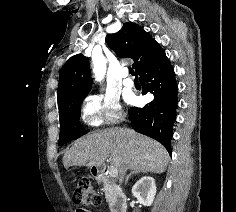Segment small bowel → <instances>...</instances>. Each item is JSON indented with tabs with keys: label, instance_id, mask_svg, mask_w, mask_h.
<instances>
[{
	"label": "small bowel",
	"instance_id": "c3829d8e",
	"mask_svg": "<svg viewBox=\"0 0 236 212\" xmlns=\"http://www.w3.org/2000/svg\"><path fill=\"white\" fill-rule=\"evenodd\" d=\"M76 212H92L90 209H77Z\"/></svg>",
	"mask_w": 236,
	"mask_h": 212
}]
</instances>
